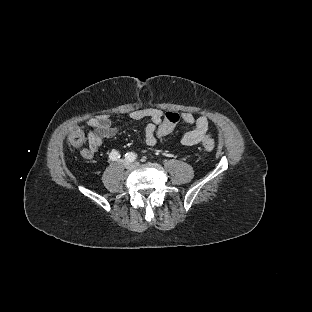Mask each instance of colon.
<instances>
[{
    "instance_id": "obj_1",
    "label": "colon",
    "mask_w": 312,
    "mask_h": 312,
    "mask_svg": "<svg viewBox=\"0 0 312 312\" xmlns=\"http://www.w3.org/2000/svg\"><path fill=\"white\" fill-rule=\"evenodd\" d=\"M164 122L160 124L157 129L159 135L164 136L168 133H171L174 129V126L178 123V121L182 120L181 114L171 113L170 111L164 112ZM66 137L69 140L70 146L73 149H81L84 158L90 157V152L87 150H83L84 145V137L82 130L77 126L70 127L66 132ZM203 149L207 152H211L215 148L214 141L210 138H206L202 144Z\"/></svg>"
}]
</instances>
